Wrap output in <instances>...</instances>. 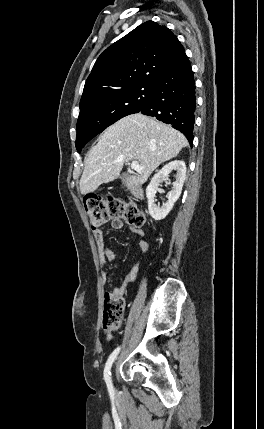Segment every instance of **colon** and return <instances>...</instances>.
<instances>
[{
	"mask_svg": "<svg viewBox=\"0 0 264 429\" xmlns=\"http://www.w3.org/2000/svg\"><path fill=\"white\" fill-rule=\"evenodd\" d=\"M84 207L95 233H100L112 218H120L134 228H140L145 223L144 214L134 203L117 197L88 195L84 199ZM124 311L125 299L121 294H105L102 326L106 333L111 334L121 327Z\"/></svg>",
	"mask_w": 264,
	"mask_h": 429,
	"instance_id": "5ec220e1",
	"label": "colon"
}]
</instances>
